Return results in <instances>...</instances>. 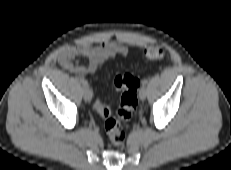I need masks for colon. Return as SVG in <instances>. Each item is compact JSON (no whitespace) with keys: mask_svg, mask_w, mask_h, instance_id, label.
<instances>
[{"mask_svg":"<svg viewBox=\"0 0 231 170\" xmlns=\"http://www.w3.org/2000/svg\"><path fill=\"white\" fill-rule=\"evenodd\" d=\"M145 56L149 60H160L164 56V49L158 44H152L145 49ZM113 84L116 90L122 92L121 105L115 115L112 114L110 107L98 99L94 102V108L105 118V129L110 141L114 145L120 146L126 139L121 122L131 119L138 104L139 81L131 74H118L115 76Z\"/></svg>","mask_w":231,"mask_h":170,"instance_id":"1","label":"colon"}]
</instances>
